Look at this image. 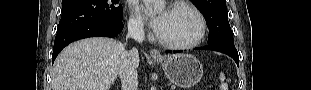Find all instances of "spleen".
<instances>
[{"label":"spleen","instance_id":"3e777b00","mask_svg":"<svg viewBox=\"0 0 311 90\" xmlns=\"http://www.w3.org/2000/svg\"><path fill=\"white\" fill-rule=\"evenodd\" d=\"M220 81H221V85H220V90H227L228 89V86L226 83H224V80H225V75L224 73H220Z\"/></svg>","mask_w":311,"mask_h":90}]
</instances>
